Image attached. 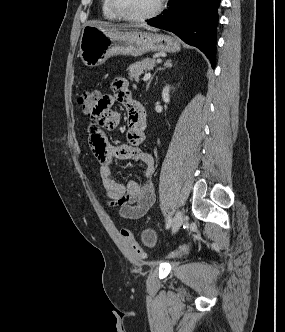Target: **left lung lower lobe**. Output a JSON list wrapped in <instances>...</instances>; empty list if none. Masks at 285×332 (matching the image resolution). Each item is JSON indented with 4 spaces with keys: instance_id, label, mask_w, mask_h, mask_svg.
Returning a JSON list of instances; mask_svg holds the SVG:
<instances>
[{
    "instance_id": "1",
    "label": "left lung lower lobe",
    "mask_w": 285,
    "mask_h": 332,
    "mask_svg": "<svg viewBox=\"0 0 285 332\" xmlns=\"http://www.w3.org/2000/svg\"><path fill=\"white\" fill-rule=\"evenodd\" d=\"M168 10L146 22L171 31L189 45L199 48L215 67L217 9L220 0H171Z\"/></svg>"
}]
</instances>
